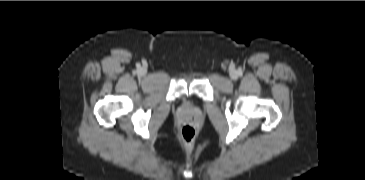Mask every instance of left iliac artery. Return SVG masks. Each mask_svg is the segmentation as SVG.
<instances>
[{
	"label": "left iliac artery",
	"instance_id": "44dca946",
	"mask_svg": "<svg viewBox=\"0 0 365 180\" xmlns=\"http://www.w3.org/2000/svg\"><path fill=\"white\" fill-rule=\"evenodd\" d=\"M239 75H242V71L241 70L239 71Z\"/></svg>",
	"mask_w": 365,
	"mask_h": 180
}]
</instances>
